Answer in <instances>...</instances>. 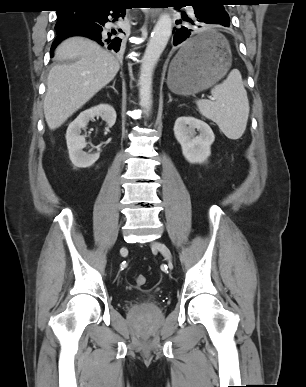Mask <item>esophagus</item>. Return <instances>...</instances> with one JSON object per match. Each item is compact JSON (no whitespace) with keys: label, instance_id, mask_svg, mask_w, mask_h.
I'll list each match as a JSON object with an SVG mask.
<instances>
[{"label":"esophagus","instance_id":"1","mask_svg":"<svg viewBox=\"0 0 306 387\" xmlns=\"http://www.w3.org/2000/svg\"><path fill=\"white\" fill-rule=\"evenodd\" d=\"M161 13V10L158 9V8H152L150 9L149 11V16L151 19H155L156 17H158Z\"/></svg>","mask_w":306,"mask_h":387}]
</instances>
